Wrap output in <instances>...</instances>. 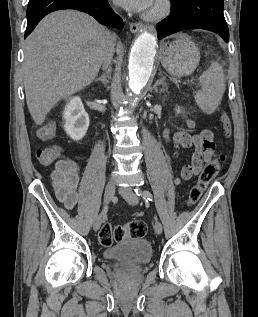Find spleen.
<instances>
[{
  "mask_svg": "<svg viewBox=\"0 0 258 317\" xmlns=\"http://www.w3.org/2000/svg\"><path fill=\"white\" fill-rule=\"evenodd\" d=\"M201 90L195 94V100L201 110L212 114L218 108L225 90L224 72L219 62H212L211 66L201 74Z\"/></svg>",
  "mask_w": 258,
  "mask_h": 317,
  "instance_id": "spleen-1",
  "label": "spleen"
}]
</instances>
